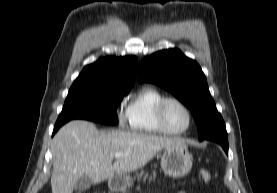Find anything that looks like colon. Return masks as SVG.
<instances>
[{
    "label": "colon",
    "instance_id": "colon-1",
    "mask_svg": "<svg viewBox=\"0 0 277 193\" xmlns=\"http://www.w3.org/2000/svg\"><path fill=\"white\" fill-rule=\"evenodd\" d=\"M200 176L205 183H209L212 179L211 173L206 169L200 171Z\"/></svg>",
    "mask_w": 277,
    "mask_h": 193
}]
</instances>
